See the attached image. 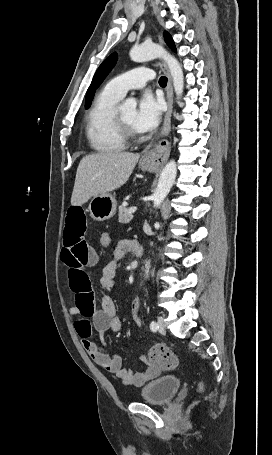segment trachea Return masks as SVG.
Returning a JSON list of instances; mask_svg holds the SVG:
<instances>
[{
    "instance_id": "obj_1",
    "label": "trachea",
    "mask_w": 272,
    "mask_h": 455,
    "mask_svg": "<svg viewBox=\"0 0 272 455\" xmlns=\"http://www.w3.org/2000/svg\"><path fill=\"white\" fill-rule=\"evenodd\" d=\"M159 85L162 86V87H165L167 85V78L164 77V76L160 77Z\"/></svg>"
}]
</instances>
